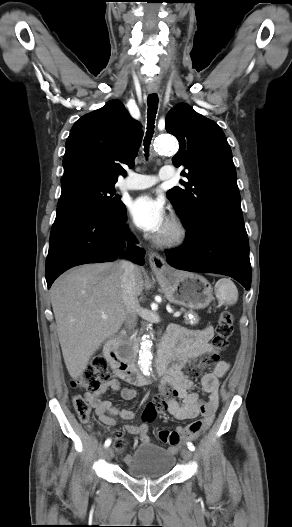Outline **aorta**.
I'll use <instances>...</instances> for the list:
<instances>
[{"instance_id":"1","label":"aorta","mask_w":292,"mask_h":527,"mask_svg":"<svg viewBox=\"0 0 292 527\" xmlns=\"http://www.w3.org/2000/svg\"><path fill=\"white\" fill-rule=\"evenodd\" d=\"M154 148L159 153H174L177 149V143L173 137L164 135L155 139ZM152 346L150 335L143 336L138 364L144 375H150L153 359Z\"/></svg>"}]
</instances>
